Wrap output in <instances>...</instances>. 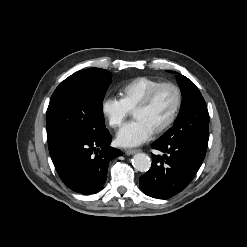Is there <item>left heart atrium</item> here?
Wrapping results in <instances>:
<instances>
[{"mask_svg":"<svg viewBox=\"0 0 247 247\" xmlns=\"http://www.w3.org/2000/svg\"><path fill=\"white\" fill-rule=\"evenodd\" d=\"M154 130L143 120L135 119L126 123L117 133V143L123 147H134L148 141Z\"/></svg>","mask_w":247,"mask_h":247,"instance_id":"1","label":"left heart atrium"}]
</instances>
